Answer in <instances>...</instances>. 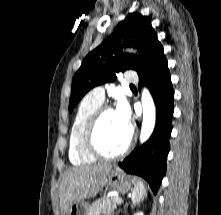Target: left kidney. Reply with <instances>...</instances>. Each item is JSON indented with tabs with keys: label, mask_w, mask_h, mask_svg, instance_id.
Returning a JSON list of instances; mask_svg holds the SVG:
<instances>
[{
	"label": "left kidney",
	"mask_w": 221,
	"mask_h": 215,
	"mask_svg": "<svg viewBox=\"0 0 221 215\" xmlns=\"http://www.w3.org/2000/svg\"><path fill=\"white\" fill-rule=\"evenodd\" d=\"M134 215H144L143 212H137Z\"/></svg>",
	"instance_id": "obj_1"
}]
</instances>
